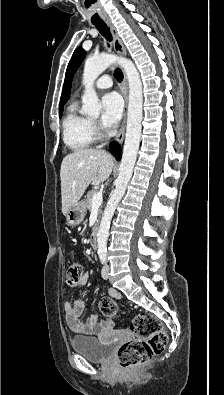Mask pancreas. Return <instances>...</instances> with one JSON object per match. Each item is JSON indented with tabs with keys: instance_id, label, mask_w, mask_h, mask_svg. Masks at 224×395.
<instances>
[{
	"instance_id": "pancreas-1",
	"label": "pancreas",
	"mask_w": 224,
	"mask_h": 395,
	"mask_svg": "<svg viewBox=\"0 0 224 395\" xmlns=\"http://www.w3.org/2000/svg\"><path fill=\"white\" fill-rule=\"evenodd\" d=\"M98 193L96 190H91L87 193L86 199H85V208L86 210H91L92 208V197ZM101 212V207L99 208V213Z\"/></svg>"
}]
</instances>
